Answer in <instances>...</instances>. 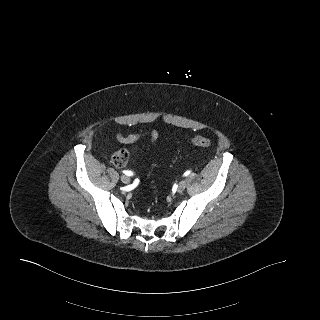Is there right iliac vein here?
<instances>
[{
  "label": "right iliac vein",
  "instance_id": "obj_1",
  "mask_svg": "<svg viewBox=\"0 0 320 320\" xmlns=\"http://www.w3.org/2000/svg\"><path fill=\"white\" fill-rule=\"evenodd\" d=\"M121 181L125 184H128L130 182V178L127 175L121 176Z\"/></svg>",
  "mask_w": 320,
  "mask_h": 320
}]
</instances>
